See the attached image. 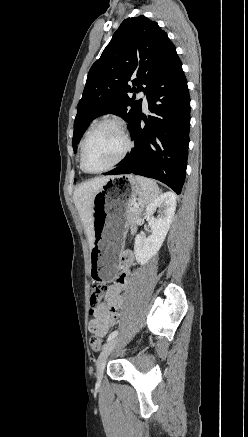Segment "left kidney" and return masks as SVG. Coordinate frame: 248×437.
<instances>
[{"label": "left kidney", "instance_id": "left-kidney-1", "mask_svg": "<svg viewBox=\"0 0 248 437\" xmlns=\"http://www.w3.org/2000/svg\"><path fill=\"white\" fill-rule=\"evenodd\" d=\"M175 209L176 196L172 192L161 194L146 207V219L152 234L148 237L138 234L135 238V257L140 265H145L161 248L172 223ZM156 211L158 216L154 217Z\"/></svg>", "mask_w": 248, "mask_h": 437}]
</instances>
